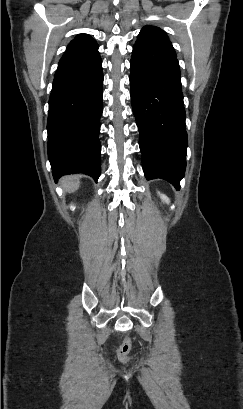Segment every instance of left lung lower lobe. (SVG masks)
Listing matches in <instances>:
<instances>
[{"mask_svg": "<svg viewBox=\"0 0 243 409\" xmlns=\"http://www.w3.org/2000/svg\"><path fill=\"white\" fill-rule=\"evenodd\" d=\"M130 66L144 174L148 180L165 179L179 190L186 167L187 133L176 53L169 40L134 45Z\"/></svg>", "mask_w": 243, "mask_h": 409, "instance_id": "0a47b994", "label": "left lung lower lobe"}]
</instances>
